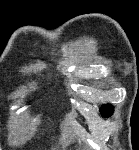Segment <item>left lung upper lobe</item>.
<instances>
[{"instance_id": "5c2ea615", "label": "left lung upper lobe", "mask_w": 139, "mask_h": 150, "mask_svg": "<svg viewBox=\"0 0 139 150\" xmlns=\"http://www.w3.org/2000/svg\"><path fill=\"white\" fill-rule=\"evenodd\" d=\"M100 112L103 116L109 117L113 112V107L111 105H104L101 107Z\"/></svg>"}]
</instances>
